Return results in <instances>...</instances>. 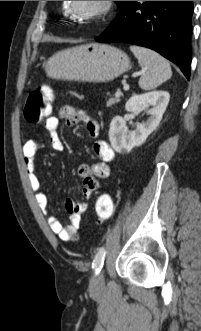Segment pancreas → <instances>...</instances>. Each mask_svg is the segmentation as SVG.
Wrapping results in <instances>:
<instances>
[{"label":"pancreas","mask_w":201,"mask_h":331,"mask_svg":"<svg viewBox=\"0 0 201 331\" xmlns=\"http://www.w3.org/2000/svg\"><path fill=\"white\" fill-rule=\"evenodd\" d=\"M120 101L119 96L116 97H111L109 98V100L107 101V106L110 107L116 103H118Z\"/></svg>","instance_id":"cf45deb5"}]
</instances>
